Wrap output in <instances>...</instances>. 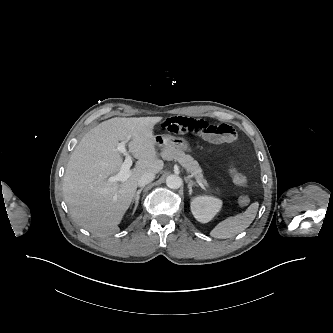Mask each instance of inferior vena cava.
Here are the masks:
<instances>
[{
  "instance_id": "1",
  "label": "inferior vena cava",
  "mask_w": 333,
  "mask_h": 333,
  "mask_svg": "<svg viewBox=\"0 0 333 333\" xmlns=\"http://www.w3.org/2000/svg\"><path fill=\"white\" fill-rule=\"evenodd\" d=\"M154 178H155L154 173L146 172L138 180V186L143 187V186L149 184L150 182H152L154 180Z\"/></svg>"
}]
</instances>
